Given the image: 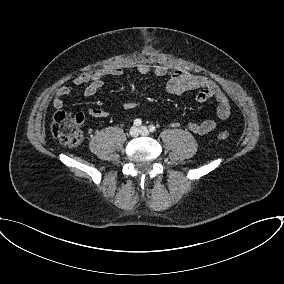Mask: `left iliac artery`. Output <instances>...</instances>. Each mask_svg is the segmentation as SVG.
<instances>
[{
	"label": "left iliac artery",
	"instance_id": "left-iliac-artery-1",
	"mask_svg": "<svg viewBox=\"0 0 284 284\" xmlns=\"http://www.w3.org/2000/svg\"><path fill=\"white\" fill-rule=\"evenodd\" d=\"M149 130H150V132H155L156 127L154 125H150Z\"/></svg>",
	"mask_w": 284,
	"mask_h": 284
}]
</instances>
